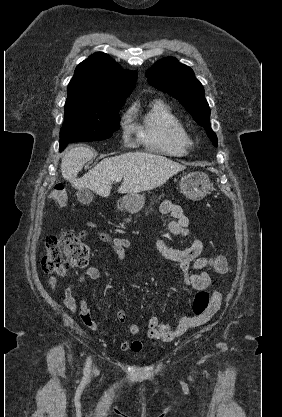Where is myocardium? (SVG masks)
Listing matches in <instances>:
<instances>
[{
	"mask_svg": "<svg viewBox=\"0 0 282 417\" xmlns=\"http://www.w3.org/2000/svg\"><path fill=\"white\" fill-rule=\"evenodd\" d=\"M180 144L183 148H186L190 145L189 137L185 134H182L180 137Z\"/></svg>",
	"mask_w": 282,
	"mask_h": 417,
	"instance_id": "myocardium-1",
	"label": "myocardium"
}]
</instances>
